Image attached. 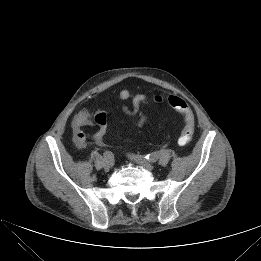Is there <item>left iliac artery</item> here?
I'll use <instances>...</instances> for the list:
<instances>
[{
	"mask_svg": "<svg viewBox=\"0 0 261 261\" xmlns=\"http://www.w3.org/2000/svg\"><path fill=\"white\" fill-rule=\"evenodd\" d=\"M160 155V152L157 151L151 154H147L144 158H146L150 162H155L157 159L160 158Z\"/></svg>",
	"mask_w": 261,
	"mask_h": 261,
	"instance_id": "left-iliac-artery-1",
	"label": "left iliac artery"
}]
</instances>
